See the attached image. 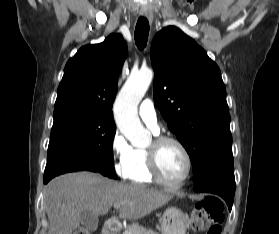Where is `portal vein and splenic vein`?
<instances>
[{"label": "portal vein and splenic vein", "mask_w": 279, "mask_h": 234, "mask_svg": "<svg viewBox=\"0 0 279 234\" xmlns=\"http://www.w3.org/2000/svg\"><path fill=\"white\" fill-rule=\"evenodd\" d=\"M120 207H121V204H120V203H115V204H114V208H115V209H119Z\"/></svg>", "instance_id": "18ae733b"}]
</instances>
